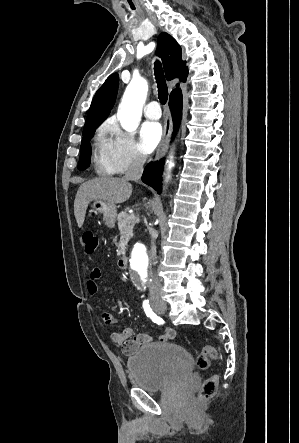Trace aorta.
<instances>
[{
  "mask_svg": "<svg viewBox=\"0 0 299 443\" xmlns=\"http://www.w3.org/2000/svg\"><path fill=\"white\" fill-rule=\"evenodd\" d=\"M147 92V81L140 77L133 78L127 86L117 114L122 128L127 132H134L138 128ZM173 166L172 160L168 161V169ZM148 265L145 248L139 244L133 251L131 267L138 273L142 283L146 282Z\"/></svg>",
  "mask_w": 299,
  "mask_h": 443,
  "instance_id": "obj_1",
  "label": "aorta"
}]
</instances>
